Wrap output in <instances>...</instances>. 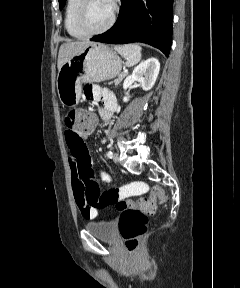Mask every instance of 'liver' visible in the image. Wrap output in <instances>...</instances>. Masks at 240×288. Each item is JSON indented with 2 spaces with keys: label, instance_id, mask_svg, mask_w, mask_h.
I'll use <instances>...</instances> for the list:
<instances>
[{
  "label": "liver",
  "instance_id": "obj_1",
  "mask_svg": "<svg viewBox=\"0 0 240 288\" xmlns=\"http://www.w3.org/2000/svg\"><path fill=\"white\" fill-rule=\"evenodd\" d=\"M92 42L89 40L83 41H74L69 43H64L61 45L58 54V70L62 67V65L68 61L72 56L80 53L83 49L89 46Z\"/></svg>",
  "mask_w": 240,
  "mask_h": 288
}]
</instances>
